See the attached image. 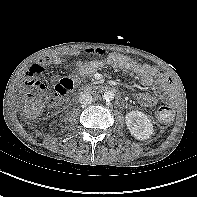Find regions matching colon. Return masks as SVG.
<instances>
[{
	"instance_id": "colon-1",
	"label": "colon",
	"mask_w": 197,
	"mask_h": 197,
	"mask_svg": "<svg viewBox=\"0 0 197 197\" xmlns=\"http://www.w3.org/2000/svg\"><path fill=\"white\" fill-rule=\"evenodd\" d=\"M31 92L28 93L27 98L24 102V108L26 113L35 117L38 115L42 105V93L45 89V85L38 80L31 82ZM74 87V81L71 78H63L55 86L54 97L50 100L52 105H57L61 102L63 97L69 93ZM174 113L169 106H161L158 109V118L164 123H168L173 119Z\"/></svg>"
}]
</instances>
